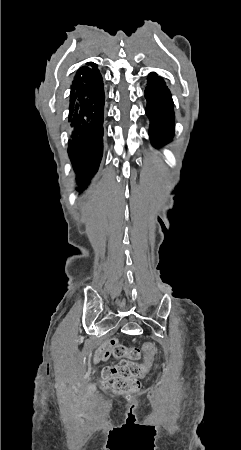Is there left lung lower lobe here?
<instances>
[{"mask_svg":"<svg viewBox=\"0 0 241 450\" xmlns=\"http://www.w3.org/2000/svg\"><path fill=\"white\" fill-rule=\"evenodd\" d=\"M146 115L150 120L151 143L158 148L172 139L174 132V109L171 93L165 82L156 73L148 76L145 89Z\"/></svg>","mask_w":241,"mask_h":450,"instance_id":"obj_1","label":"left lung lower lobe"}]
</instances>
